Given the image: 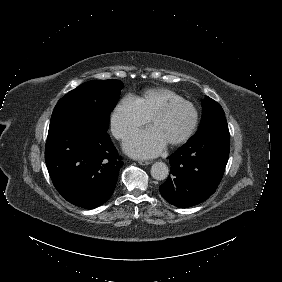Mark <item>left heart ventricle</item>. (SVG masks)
I'll use <instances>...</instances> for the list:
<instances>
[{
	"instance_id": "1",
	"label": "left heart ventricle",
	"mask_w": 282,
	"mask_h": 282,
	"mask_svg": "<svg viewBox=\"0 0 282 282\" xmlns=\"http://www.w3.org/2000/svg\"><path fill=\"white\" fill-rule=\"evenodd\" d=\"M171 101V99L166 98L157 110L165 108ZM190 119L191 116L187 109L176 108L168 114L157 118L152 125L160 131L166 142H170L179 138L186 131Z\"/></svg>"
}]
</instances>
